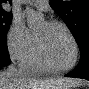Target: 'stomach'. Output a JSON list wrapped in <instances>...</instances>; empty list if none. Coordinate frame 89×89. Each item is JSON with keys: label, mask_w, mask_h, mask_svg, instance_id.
Masks as SVG:
<instances>
[{"label": "stomach", "mask_w": 89, "mask_h": 89, "mask_svg": "<svg viewBox=\"0 0 89 89\" xmlns=\"http://www.w3.org/2000/svg\"><path fill=\"white\" fill-rule=\"evenodd\" d=\"M55 89H71L70 87H66V86H59V87H56Z\"/></svg>", "instance_id": "1"}]
</instances>
